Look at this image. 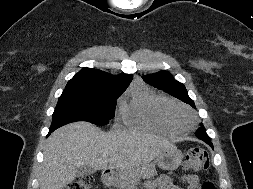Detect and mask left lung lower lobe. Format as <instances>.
<instances>
[{
  "mask_svg": "<svg viewBox=\"0 0 253 189\" xmlns=\"http://www.w3.org/2000/svg\"><path fill=\"white\" fill-rule=\"evenodd\" d=\"M199 139L203 140L204 142H206L208 145H210L213 148V144L210 142V139L208 136L196 133L195 134Z\"/></svg>",
  "mask_w": 253,
  "mask_h": 189,
  "instance_id": "1",
  "label": "left lung lower lobe"
}]
</instances>
